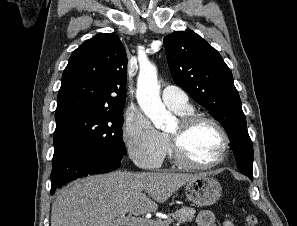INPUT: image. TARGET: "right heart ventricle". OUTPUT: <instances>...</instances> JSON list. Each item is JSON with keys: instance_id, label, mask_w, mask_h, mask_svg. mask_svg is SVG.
I'll return each mask as SVG.
<instances>
[{"instance_id": "1", "label": "right heart ventricle", "mask_w": 297, "mask_h": 226, "mask_svg": "<svg viewBox=\"0 0 297 226\" xmlns=\"http://www.w3.org/2000/svg\"><path fill=\"white\" fill-rule=\"evenodd\" d=\"M170 109L172 111H174L176 114L180 115V116H187V115L193 114L192 107H189V108L183 109V110H177V109H172V108H170ZM165 141H166V144H167V152L171 153L170 146H169V143H168L166 137H165Z\"/></svg>"}]
</instances>
